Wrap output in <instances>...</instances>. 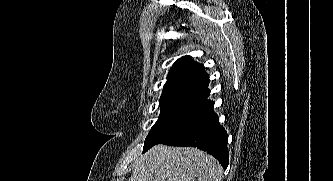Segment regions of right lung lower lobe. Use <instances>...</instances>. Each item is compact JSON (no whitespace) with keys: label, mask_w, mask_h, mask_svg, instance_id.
I'll return each mask as SVG.
<instances>
[{"label":"right lung lower lobe","mask_w":333,"mask_h":181,"mask_svg":"<svg viewBox=\"0 0 333 181\" xmlns=\"http://www.w3.org/2000/svg\"><path fill=\"white\" fill-rule=\"evenodd\" d=\"M227 142L225 129L220 125L214 111L210 110L193 129L166 145L197 147L213 155L226 169L229 158Z\"/></svg>","instance_id":"1"}]
</instances>
